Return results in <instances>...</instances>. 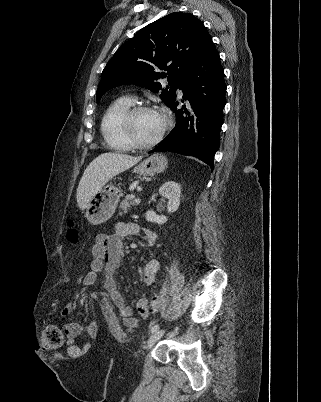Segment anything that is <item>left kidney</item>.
Instances as JSON below:
<instances>
[{
	"label": "left kidney",
	"instance_id": "left-kidney-1",
	"mask_svg": "<svg viewBox=\"0 0 321 402\" xmlns=\"http://www.w3.org/2000/svg\"><path fill=\"white\" fill-rule=\"evenodd\" d=\"M159 194L168 199V213L177 211L180 205L181 187L174 181H167L159 188ZM146 220L157 223L159 225L167 222L166 216H159L154 211H147Z\"/></svg>",
	"mask_w": 321,
	"mask_h": 402
}]
</instances>
